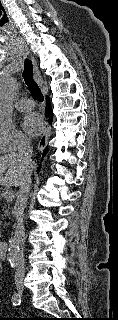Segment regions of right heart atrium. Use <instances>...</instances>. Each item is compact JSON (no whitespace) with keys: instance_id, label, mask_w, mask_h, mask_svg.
<instances>
[{"instance_id":"1","label":"right heart atrium","mask_w":118,"mask_h":320,"mask_svg":"<svg viewBox=\"0 0 118 320\" xmlns=\"http://www.w3.org/2000/svg\"><path fill=\"white\" fill-rule=\"evenodd\" d=\"M29 143L27 136L14 126H0V152H12Z\"/></svg>"}]
</instances>
